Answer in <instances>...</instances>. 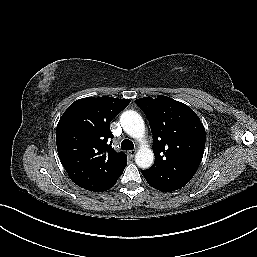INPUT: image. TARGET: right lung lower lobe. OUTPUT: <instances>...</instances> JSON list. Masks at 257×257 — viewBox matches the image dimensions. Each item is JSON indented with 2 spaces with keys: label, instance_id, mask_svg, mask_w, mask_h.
<instances>
[{
  "label": "right lung lower lobe",
  "instance_id": "98d812e1",
  "mask_svg": "<svg viewBox=\"0 0 257 257\" xmlns=\"http://www.w3.org/2000/svg\"><path fill=\"white\" fill-rule=\"evenodd\" d=\"M116 181H117V180H116ZM116 181L113 182L110 186H108V187H106V188H104V189H102V190L96 191V192H103V191H106V190L110 189L111 187H113V185H115Z\"/></svg>",
  "mask_w": 257,
  "mask_h": 257
}]
</instances>
